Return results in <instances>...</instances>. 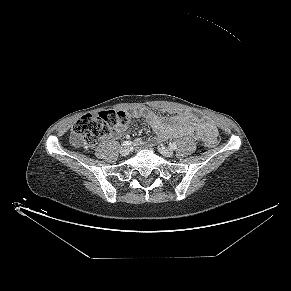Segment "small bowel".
I'll return each instance as SVG.
<instances>
[{"mask_svg":"<svg viewBox=\"0 0 291 291\" xmlns=\"http://www.w3.org/2000/svg\"><path fill=\"white\" fill-rule=\"evenodd\" d=\"M131 115L145 119L159 140L170 136H191L197 139H205L209 134L216 132V127L213 123L200 119L193 114L161 117L150 110L137 109ZM120 132L121 130H117L116 135H119ZM141 142V139L137 141V143Z\"/></svg>","mask_w":291,"mask_h":291,"instance_id":"obj_1","label":"small bowel"}]
</instances>
